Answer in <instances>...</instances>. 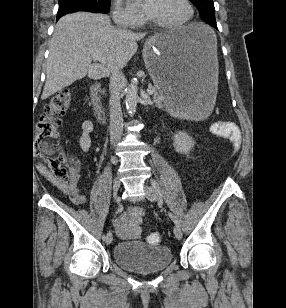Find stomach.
Masks as SVG:
<instances>
[{"label": "stomach", "instance_id": "1", "mask_svg": "<svg viewBox=\"0 0 286 308\" xmlns=\"http://www.w3.org/2000/svg\"><path fill=\"white\" fill-rule=\"evenodd\" d=\"M143 59L165 107L197 114L212 107L218 80L217 38L207 25L193 23L155 35Z\"/></svg>", "mask_w": 286, "mask_h": 308}]
</instances>
